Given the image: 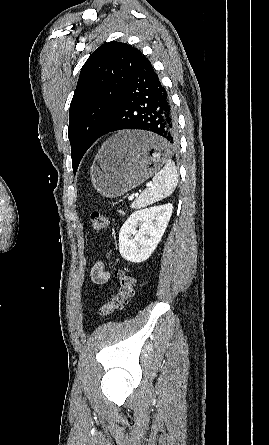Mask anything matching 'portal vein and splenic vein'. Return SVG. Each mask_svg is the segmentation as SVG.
<instances>
[{
    "instance_id": "1",
    "label": "portal vein and splenic vein",
    "mask_w": 269,
    "mask_h": 445,
    "mask_svg": "<svg viewBox=\"0 0 269 445\" xmlns=\"http://www.w3.org/2000/svg\"><path fill=\"white\" fill-rule=\"evenodd\" d=\"M137 196H138V194L136 193L135 195L129 196L128 199L132 200V199L136 198Z\"/></svg>"
}]
</instances>
